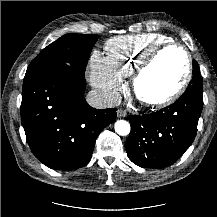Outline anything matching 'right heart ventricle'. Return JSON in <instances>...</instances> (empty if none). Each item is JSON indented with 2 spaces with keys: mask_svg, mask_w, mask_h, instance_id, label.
Here are the masks:
<instances>
[{
  "mask_svg": "<svg viewBox=\"0 0 217 217\" xmlns=\"http://www.w3.org/2000/svg\"><path fill=\"white\" fill-rule=\"evenodd\" d=\"M171 41L170 37L156 33L117 36L106 42V59L114 73L127 78L151 51Z\"/></svg>",
  "mask_w": 217,
  "mask_h": 217,
  "instance_id": "obj_1",
  "label": "right heart ventricle"
}]
</instances>
